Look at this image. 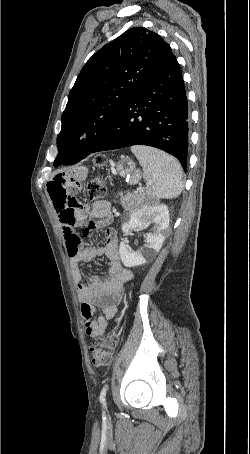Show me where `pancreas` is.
Segmentation results:
<instances>
[{
  "mask_svg": "<svg viewBox=\"0 0 250 454\" xmlns=\"http://www.w3.org/2000/svg\"><path fill=\"white\" fill-rule=\"evenodd\" d=\"M143 194L141 193H134L132 195H128V196H123L121 199H122V202H123V205L126 209H130L132 208V206L135 204V203H138V202H141L143 201Z\"/></svg>",
  "mask_w": 250,
  "mask_h": 454,
  "instance_id": "cf45deb5",
  "label": "pancreas"
}]
</instances>
